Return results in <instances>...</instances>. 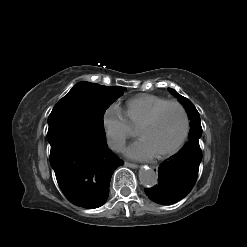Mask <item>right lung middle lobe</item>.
I'll use <instances>...</instances> for the list:
<instances>
[{"mask_svg": "<svg viewBox=\"0 0 247 247\" xmlns=\"http://www.w3.org/2000/svg\"><path fill=\"white\" fill-rule=\"evenodd\" d=\"M125 90L123 87H106L90 82H79L58 101L48 117V124L75 122L88 127L105 139L103 116L105 110Z\"/></svg>", "mask_w": 247, "mask_h": 247, "instance_id": "dd1d6c3e", "label": "right lung middle lobe"}]
</instances>
